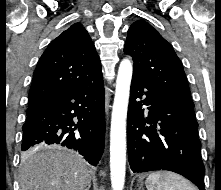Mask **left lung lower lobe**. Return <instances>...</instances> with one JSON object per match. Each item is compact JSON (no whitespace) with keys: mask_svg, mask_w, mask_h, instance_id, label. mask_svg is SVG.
I'll return each instance as SVG.
<instances>
[{"mask_svg":"<svg viewBox=\"0 0 221 190\" xmlns=\"http://www.w3.org/2000/svg\"><path fill=\"white\" fill-rule=\"evenodd\" d=\"M143 105L148 106L147 110ZM127 141L134 173L169 170L205 190V168L194 109L137 75L132 76L130 88Z\"/></svg>","mask_w":221,"mask_h":190,"instance_id":"0a47b994","label":"left lung lower lobe"}]
</instances>
